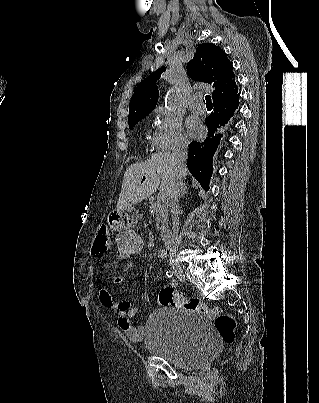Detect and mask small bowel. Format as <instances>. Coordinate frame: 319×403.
Instances as JSON below:
<instances>
[{"mask_svg":"<svg viewBox=\"0 0 319 403\" xmlns=\"http://www.w3.org/2000/svg\"><path fill=\"white\" fill-rule=\"evenodd\" d=\"M108 235L109 232L105 227L100 228L91 251V256L93 258L101 257L108 250L109 248ZM159 257L161 260L166 259L167 258L166 252L164 251L160 252ZM99 278L100 281L98 284V289L100 291L101 303L113 312L117 320L118 326L125 333V335L129 340H131L132 342L142 341L145 334V328L143 326L136 327L132 324V318L136 315L137 308L133 307L129 301H122L120 303L114 302L112 295L105 289V280L103 278L102 273H99ZM113 284L116 288L117 285H120V288H122L124 284V279L122 277H117L114 279ZM170 286L172 287L176 286L175 281H171Z\"/></svg>","mask_w":319,"mask_h":403,"instance_id":"small-bowel-1","label":"small bowel"}]
</instances>
